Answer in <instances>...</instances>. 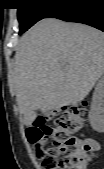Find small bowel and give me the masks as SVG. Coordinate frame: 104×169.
<instances>
[{
  "mask_svg": "<svg viewBox=\"0 0 104 169\" xmlns=\"http://www.w3.org/2000/svg\"><path fill=\"white\" fill-rule=\"evenodd\" d=\"M93 146H94V151H98L100 149V145L98 142L94 141V140H89ZM85 156H87V154H84ZM85 169V168H84Z\"/></svg>",
  "mask_w": 104,
  "mask_h": 169,
  "instance_id": "obj_1",
  "label": "small bowel"
}]
</instances>
